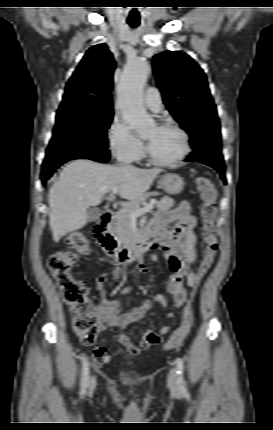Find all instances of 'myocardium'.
I'll use <instances>...</instances> for the list:
<instances>
[{"instance_id":"myocardium-1","label":"myocardium","mask_w":273,"mask_h":430,"mask_svg":"<svg viewBox=\"0 0 273 430\" xmlns=\"http://www.w3.org/2000/svg\"><path fill=\"white\" fill-rule=\"evenodd\" d=\"M157 127L158 128H164V129H171V130H174L177 133H179V135L182 138V150H181L180 154L177 157H175L174 159L160 160L152 154L150 146L147 142L145 152H146V157H147L148 161L154 165L163 166V167L174 166V165L181 163L190 153V140H189V136H188L187 132L178 124H176L174 122H169V121L162 122Z\"/></svg>"}]
</instances>
